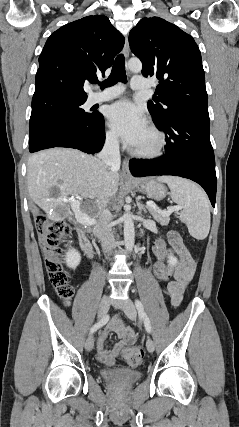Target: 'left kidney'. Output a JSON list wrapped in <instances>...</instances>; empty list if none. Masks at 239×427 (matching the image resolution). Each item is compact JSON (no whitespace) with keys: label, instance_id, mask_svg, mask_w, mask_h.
Listing matches in <instances>:
<instances>
[{"label":"left kidney","instance_id":"1","mask_svg":"<svg viewBox=\"0 0 239 427\" xmlns=\"http://www.w3.org/2000/svg\"><path fill=\"white\" fill-rule=\"evenodd\" d=\"M167 262L169 263L170 266H175L177 264V258L174 257L173 255H170L168 257V261Z\"/></svg>","mask_w":239,"mask_h":427}]
</instances>
